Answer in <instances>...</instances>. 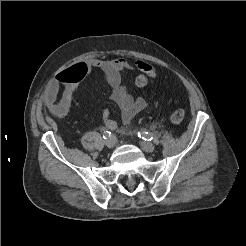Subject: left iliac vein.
Wrapping results in <instances>:
<instances>
[{"mask_svg": "<svg viewBox=\"0 0 246 246\" xmlns=\"http://www.w3.org/2000/svg\"><path fill=\"white\" fill-rule=\"evenodd\" d=\"M140 146L146 152H153L155 150V145L151 142H140Z\"/></svg>", "mask_w": 246, "mask_h": 246, "instance_id": "left-iliac-vein-1", "label": "left iliac vein"}]
</instances>
